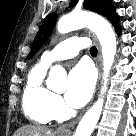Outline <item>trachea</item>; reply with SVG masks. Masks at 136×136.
Returning <instances> with one entry per match:
<instances>
[{"label": "trachea", "mask_w": 136, "mask_h": 136, "mask_svg": "<svg viewBox=\"0 0 136 136\" xmlns=\"http://www.w3.org/2000/svg\"><path fill=\"white\" fill-rule=\"evenodd\" d=\"M90 53H91V55L96 56L97 55V48L91 47Z\"/></svg>", "instance_id": "3493384b"}]
</instances>
